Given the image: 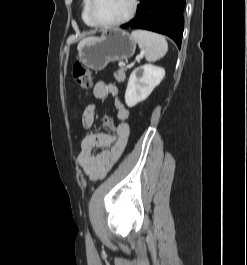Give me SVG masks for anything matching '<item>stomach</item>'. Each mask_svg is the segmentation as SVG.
Returning <instances> with one entry per match:
<instances>
[{
	"instance_id": "0dacf381",
	"label": "stomach",
	"mask_w": 247,
	"mask_h": 265,
	"mask_svg": "<svg viewBox=\"0 0 247 265\" xmlns=\"http://www.w3.org/2000/svg\"><path fill=\"white\" fill-rule=\"evenodd\" d=\"M136 50V41L126 31L112 29L101 37H89L78 47L79 60L89 69L100 71L108 63L127 60Z\"/></svg>"
}]
</instances>
